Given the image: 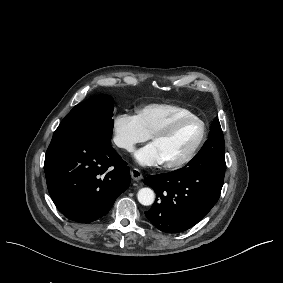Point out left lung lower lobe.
Here are the masks:
<instances>
[{
    "mask_svg": "<svg viewBox=\"0 0 283 283\" xmlns=\"http://www.w3.org/2000/svg\"><path fill=\"white\" fill-rule=\"evenodd\" d=\"M225 168V150L204 146L184 168L147 177L157 196L147 219L166 233L193 227L218 201Z\"/></svg>",
    "mask_w": 283,
    "mask_h": 283,
    "instance_id": "0a47b994",
    "label": "left lung lower lobe"
}]
</instances>
